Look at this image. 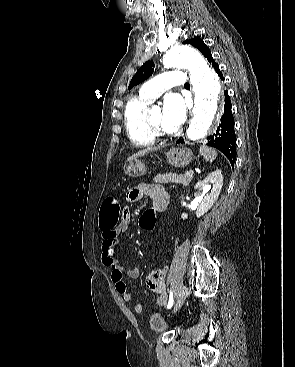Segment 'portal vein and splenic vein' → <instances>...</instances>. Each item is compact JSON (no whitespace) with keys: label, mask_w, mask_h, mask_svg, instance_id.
I'll list each match as a JSON object with an SVG mask.
<instances>
[{"label":"portal vein and splenic vein","mask_w":295,"mask_h":367,"mask_svg":"<svg viewBox=\"0 0 295 367\" xmlns=\"http://www.w3.org/2000/svg\"><path fill=\"white\" fill-rule=\"evenodd\" d=\"M193 174H194L193 170H189L185 173V175H187V176H193Z\"/></svg>","instance_id":"obj_1"}]
</instances>
